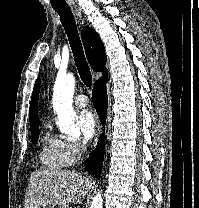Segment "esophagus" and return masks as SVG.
Here are the masks:
<instances>
[{
    "label": "esophagus",
    "instance_id": "1",
    "mask_svg": "<svg viewBox=\"0 0 199 208\" xmlns=\"http://www.w3.org/2000/svg\"><path fill=\"white\" fill-rule=\"evenodd\" d=\"M74 12L75 14L77 15V17L79 19H81V10L80 9H74ZM96 131H95V139H94V148H96L97 144H98V141L101 137V133H102V127H101V124H100V121L98 119V117H96Z\"/></svg>",
    "mask_w": 199,
    "mask_h": 208
}]
</instances>
